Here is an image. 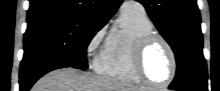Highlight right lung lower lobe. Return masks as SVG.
I'll use <instances>...</instances> for the list:
<instances>
[{
    "mask_svg": "<svg viewBox=\"0 0 220 91\" xmlns=\"http://www.w3.org/2000/svg\"><path fill=\"white\" fill-rule=\"evenodd\" d=\"M65 67L69 66L64 63H48L39 67L35 72L20 76V91H28L41 76L49 71Z\"/></svg>",
    "mask_w": 220,
    "mask_h": 91,
    "instance_id": "right-lung-lower-lobe-1",
    "label": "right lung lower lobe"
}]
</instances>
